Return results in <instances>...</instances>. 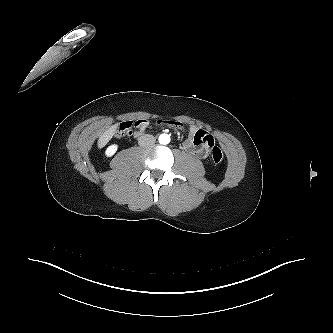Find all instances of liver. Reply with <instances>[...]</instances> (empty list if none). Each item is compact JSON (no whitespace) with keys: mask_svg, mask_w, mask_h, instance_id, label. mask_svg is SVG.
Masks as SVG:
<instances>
[{"mask_svg":"<svg viewBox=\"0 0 333 333\" xmlns=\"http://www.w3.org/2000/svg\"><path fill=\"white\" fill-rule=\"evenodd\" d=\"M117 125L109 127L99 138L98 145L99 147L104 146L115 134Z\"/></svg>","mask_w":333,"mask_h":333,"instance_id":"obj_1","label":"liver"}]
</instances>
